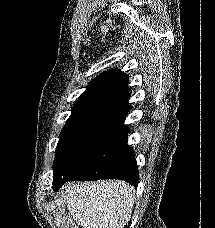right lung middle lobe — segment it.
Returning <instances> with one entry per match:
<instances>
[{
  "label": "right lung middle lobe",
  "instance_id": "right-lung-middle-lobe-1",
  "mask_svg": "<svg viewBox=\"0 0 215 228\" xmlns=\"http://www.w3.org/2000/svg\"><path fill=\"white\" fill-rule=\"evenodd\" d=\"M127 129L123 123L94 121L63 130L55 152L53 187L75 167Z\"/></svg>",
  "mask_w": 215,
  "mask_h": 228
}]
</instances>
